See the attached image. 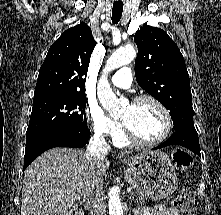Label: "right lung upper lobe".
I'll use <instances>...</instances> for the list:
<instances>
[{"label": "right lung upper lobe", "mask_w": 221, "mask_h": 215, "mask_svg": "<svg viewBox=\"0 0 221 215\" xmlns=\"http://www.w3.org/2000/svg\"><path fill=\"white\" fill-rule=\"evenodd\" d=\"M91 28L80 23L52 44L39 70L34 101L63 94H85V81L96 45Z\"/></svg>", "instance_id": "1"}]
</instances>
